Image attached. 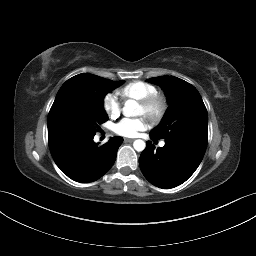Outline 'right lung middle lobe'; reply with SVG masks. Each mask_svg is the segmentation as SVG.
<instances>
[{
    "label": "right lung middle lobe",
    "mask_w": 256,
    "mask_h": 256,
    "mask_svg": "<svg viewBox=\"0 0 256 256\" xmlns=\"http://www.w3.org/2000/svg\"><path fill=\"white\" fill-rule=\"evenodd\" d=\"M80 75L88 89L79 99L62 100L49 112L48 130L95 134L101 130L99 125L108 120L103 108L104 96L124 81H111L88 73Z\"/></svg>",
    "instance_id": "1"
}]
</instances>
